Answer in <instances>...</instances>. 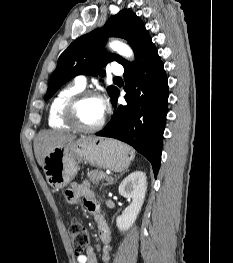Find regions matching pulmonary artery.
Segmentation results:
<instances>
[{
    "mask_svg": "<svg viewBox=\"0 0 233 263\" xmlns=\"http://www.w3.org/2000/svg\"><path fill=\"white\" fill-rule=\"evenodd\" d=\"M111 72L114 75L121 76L123 74V67L118 63L114 62ZM75 83L78 84L80 87L84 88L87 84V78L84 75H79L75 78Z\"/></svg>",
    "mask_w": 233,
    "mask_h": 263,
    "instance_id": "e3ab8cb5",
    "label": "pulmonary artery"
}]
</instances>
